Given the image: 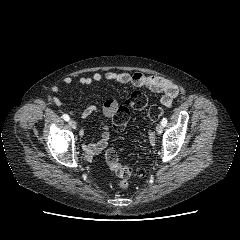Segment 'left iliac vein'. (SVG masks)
<instances>
[{
  "mask_svg": "<svg viewBox=\"0 0 240 240\" xmlns=\"http://www.w3.org/2000/svg\"><path fill=\"white\" fill-rule=\"evenodd\" d=\"M156 131H157L158 134H162V132H163V125L162 124H157Z\"/></svg>",
  "mask_w": 240,
  "mask_h": 240,
  "instance_id": "4c4485c4",
  "label": "left iliac vein"
}]
</instances>
